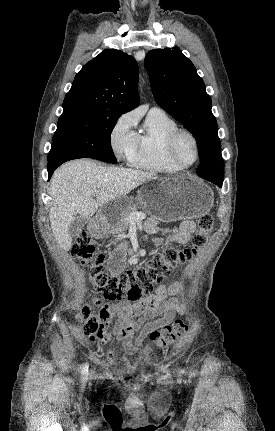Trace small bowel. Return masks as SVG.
Segmentation results:
<instances>
[{"label":"small bowel","mask_w":275,"mask_h":431,"mask_svg":"<svg viewBox=\"0 0 275 431\" xmlns=\"http://www.w3.org/2000/svg\"><path fill=\"white\" fill-rule=\"evenodd\" d=\"M195 223L185 220L171 230L160 229L154 220L145 223V229L150 234L164 233V237H154L153 242H163L178 245L186 244L195 231ZM123 246H119L109 258V267L118 272L122 267ZM179 290L178 283L161 285L156 293L136 302L124 301L118 304L106 305L100 312L102 323L96 336L90 337L93 342H108L109 332L122 341V350L127 354L139 351L144 339L152 331L170 324L177 313L183 311L184 306L178 302L174 295ZM115 316L118 319L115 320ZM156 316H160L154 319ZM137 334V336H136ZM113 357V352H109Z\"/></svg>","instance_id":"small-bowel-1"}]
</instances>
